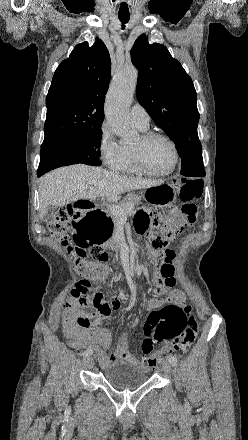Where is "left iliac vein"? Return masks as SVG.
<instances>
[{"instance_id": "1", "label": "left iliac vein", "mask_w": 248, "mask_h": 440, "mask_svg": "<svg viewBox=\"0 0 248 440\" xmlns=\"http://www.w3.org/2000/svg\"><path fill=\"white\" fill-rule=\"evenodd\" d=\"M162 370L166 376H170L172 372L171 362L169 360H165L162 364Z\"/></svg>"}]
</instances>
